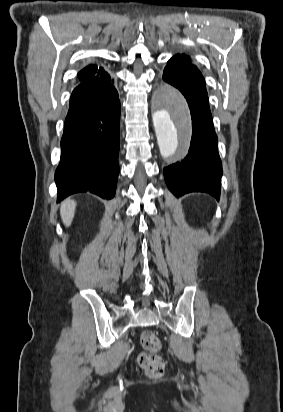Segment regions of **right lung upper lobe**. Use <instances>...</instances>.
I'll return each instance as SVG.
<instances>
[{"instance_id": "right-lung-upper-lobe-1", "label": "right lung upper lobe", "mask_w": 283, "mask_h": 412, "mask_svg": "<svg viewBox=\"0 0 283 412\" xmlns=\"http://www.w3.org/2000/svg\"><path fill=\"white\" fill-rule=\"evenodd\" d=\"M93 77L110 79V75L102 67L96 65H89L78 73L80 83Z\"/></svg>"}]
</instances>
